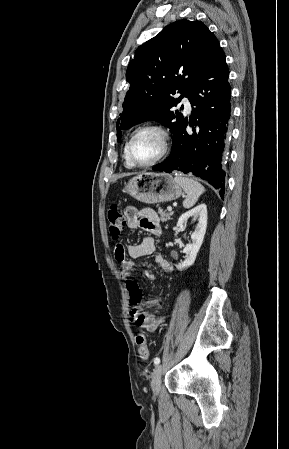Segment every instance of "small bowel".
<instances>
[{
    "label": "small bowel",
    "instance_id": "obj_1",
    "mask_svg": "<svg viewBox=\"0 0 289 449\" xmlns=\"http://www.w3.org/2000/svg\"><path fill=\"white\" fill-rule=\"evenodd\" d=\"M127 225L130 230L142 227L149 231L151 235L146 236L142 242L137 244H117L114 249L115 259L120 263L121 275L124 279H129L136 271V266L131 259L152 255L156 249V236L162 234V227L157 213L150 209L144 208L137 210L134 207H128L125 210ZM127 255L131 258H127ZM154 262L165 272H172L173 265L163 255L155 254ZM147 280H154L155 274L148 269L142 272ZM159 300L151 299L146 301L140 307H133L130 311L131 320L139 327L144 328L148 332L156 331L164 322V319L158 315Z\"/></svg>",
    "mask_w": 289,
    "mask_h": 449
}]
</instances>
